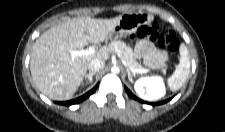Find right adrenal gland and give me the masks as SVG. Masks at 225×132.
I'll list each match as a JSON object with an SVG mask.
<instances>
[{"label":"right adrenal gland","mask_w":225,"mask_h":132,"mask_svg":"<svg viewBox=\"0 0 225 132\" xmlns=\"http://www.w3.org/2000/svg\"><path fill=\"white\" fill-rule=\"evenodd\" d=\"M95 75V73H88L85 74L84 78L89 80V83H92V77Z\"/></svg>","instance_id":"obj_1"}]
</instances>
